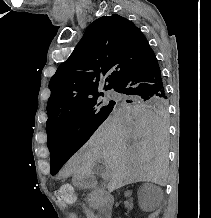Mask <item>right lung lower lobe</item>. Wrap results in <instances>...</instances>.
Instances as JSON below:
<instances>
[{"label": "right lung lower lobe", "mask_w": 211, "mask_h": 218, "mask_svg": "<svg viewBox=\"0 0 211 218\" xmlns=\"http://www.w3.org/2000/svg\"><path fill=\"white\" fill-rule=\"evenodd\" d=\"M112 88L126 97L167 98L160 67L153 50L134 63Z\"/></svg>", "instance_id": "98d812e1"}]
</instances>
